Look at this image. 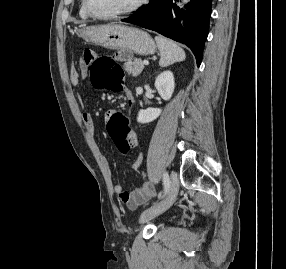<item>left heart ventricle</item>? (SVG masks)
Wrapping results in <instances>:
<instances>
[{"label":"left heart ventricle","mask_w":286,"mask_h":269,"mask_svg":"<svg viewBox=\"0 0 286 269\" xmlns=\"http://www.w3.org/2000/svg\"><path fill=\"white\" fill-rule=\"evenodd\" d=\"M138 0H89L91 9L101 15L112 14L131 7Z\"/></svg>","instance_id":"obj_1"}]
</instances>
